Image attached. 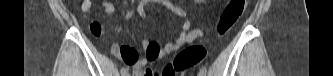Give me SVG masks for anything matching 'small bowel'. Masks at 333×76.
Instances as JSON below:
<instances>
[{"label": "small bowel", "instance_id": "c3829d8e", "mask_svg": "<svg viewBox=\"0 0 333 76\" xmlns=\"http://www.w3.org/2000/svg\"><path fill=\"white\" fill-rule=\"evenodd\" d=\"M147 1H141L138 5V12L141 16H145L144 6ZM199 1H197L198 3ZM163 3L176 15L184 18V21L181 26V31L178 36L174 38L172 42H168L164 45H159L156 41H149L148 39L143 40V50L144 55L142 58L138 59L139 48L135 44H124L123 46L114 43L112 45V53L116 56H119L123 59L125 63L130 65L133 69L135 76H146V71H143V68L151 62L156 60L165 59L167 56L173 52L180 49L186 44H190L198 38L203 37L204 33L200 28L191 29V22L188 17V14L182 8L171 4L168 1H163ZM93 2L91 0H84L80 4L82 12L88 13L92 8ZM101 6L103 11L107 14H113L115 11L114 4L109 0H102ZM133 12L129 11L125 19H129L133 16ZM90 32L92 39H101L102 38V27L101 24L97 21H94L90 24ZM151 76V75H150ZM154 76H166V72H162L160 68L155 70Z\"/></svg>", "mask_w": 333, "mask_h": 76}]
</instances>
